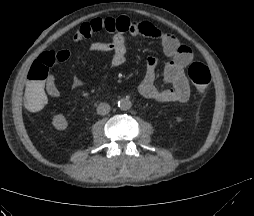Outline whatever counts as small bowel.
Here are the masks:
<instances>
[{"mask_svg": "<svg viewBox=\"0 0 254 216\" xmlns=\"http://www.w3.org/2000/svg\"><path fill=\"white\" fill-rule=\"evenodd\" d=\"M101 30L112 34V39L109 42L91 43L88 49L94 52H110L113 67H120L126 62V34L159 40L165 55L170 59L164 68L162 77L167 87L160 89L155 85L157 59L152 56L147 60L145 75L139 84L138 91L144 98L156 102L184 103L189 100L190 86L184 69L193 59V51L190 46L181 43L176 36L160 30L150 22L132 21L127 17L96 19L84 23L73 34V39L80 41L90 38ZM70 55L71 52L68 49H62L58 51V61L67 60ZM43 89L49 97L57 98L61 95L53 74L47 77Z\"/></svg>", "mask_w": 254, "mask_h": 216, "instance_id": "c3829d8e", "label": "small bowel"}]
</instances>
